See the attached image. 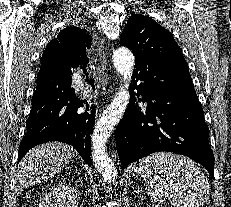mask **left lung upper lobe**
Instances as JSON below:
<instances>
[{
	"mask_svg": "<svg viewBox=\"0 0 231 207\" xmlns=\"http://www.w3.org/2000/svg\"><path fill=\"white\" fill-rule=\"evenodd\" d=\"M120 44L131 49L136 59L143 58L173 70L189 72L172 34L143 14L129 18L120 36Z\"/></svg>",
	"mask_w": 231,
	"mask_h": 207,
	"instance_id": "1",
	"label": "left lung upper lobe"
}]
</instances>
